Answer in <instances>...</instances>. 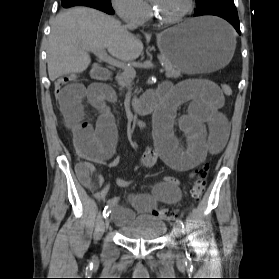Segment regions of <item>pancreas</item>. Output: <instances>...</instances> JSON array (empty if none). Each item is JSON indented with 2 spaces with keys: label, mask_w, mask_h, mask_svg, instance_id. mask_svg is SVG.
<instances>
[{
  "label": "pancreas",
  "mask_w": 279,
  "mask_h": 279,
  "mask_svg": "<svg viewBox=\"0 0 279 279\" xmlns=\"http://www.w3.org/2000/svg\"><path fill=\"white\" fill-rule=\"evenodd\" d=\"M158 59L163 64V67L166 71V77L168 78H179L181 77V71L174 67L171 62L165 59L163 56H159ZM133 75L130 72L123 71L116 76L120 90L123 88H128L132 83Z\"/></svg>",
  "instance_id": "pancreas-1"
}]
</instances>
